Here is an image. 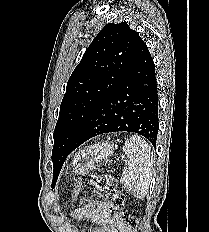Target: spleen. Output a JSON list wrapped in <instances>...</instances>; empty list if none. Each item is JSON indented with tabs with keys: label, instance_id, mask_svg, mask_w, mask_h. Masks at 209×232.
<instances>
[{
	"label": "spleen",
	"instance_id": "3e777b00",
	"mask_svg": "<svg viewBox=\"0 0 209 232\" xmlns=\"http://www.w3.org/2000/svg\"><path fill=\"white\" fill-rule=\"evenodd\" d=\"M125 140L123 151L128 157V163L123 169L121 182L135 197L142 199L152 180L153 153L145 139L138 135Z\"/></svg>",
	"mask_w": 209,
	"mask_h": 232
}]
</instances>
